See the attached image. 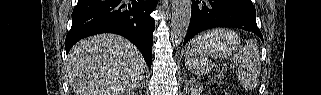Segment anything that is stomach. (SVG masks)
<instances>
[{"label": "stomach", "mask_w": 321, "mask_h": 95, "mask_svg": "<svg viewBox=\"0 0 321 95\" xmlns=\"http://www.w3.org/2000/svg\"><path fill=\"white\" fill-rule=\"evenodd\" d=\"M240 45L238 36L232 32L224 39L216 42L201 41L199 44L190 42L187 48L188 55H209L211 57L227 56L235 52Z\"/></svg>", "instance_id": "stomach-1"}]
</instances>
